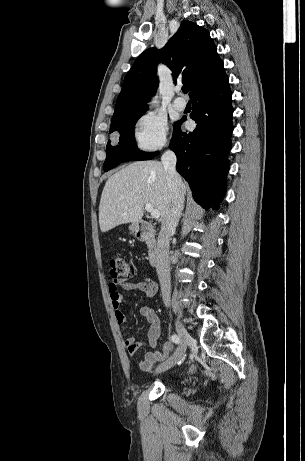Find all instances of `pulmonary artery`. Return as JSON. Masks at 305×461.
<instances>
[{
	"instance_id": "e3ab8cb5",
	"label": "pulmonary artery",
	"mask_w": 305,
	"mask_h": 461,
	"mask_svg": "<svg viewBox=\"0 0 305 461\" xmlns=\"http://www.w3.org/2000/svg\"><path fill=\"white\" fill-rule=\"evenodd\" d=\"M173 106L178 111H183L186 107V101L182 97H177L173 101Z\"/></svg>"
}]
</instances>
